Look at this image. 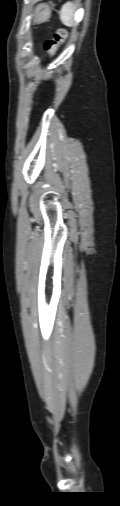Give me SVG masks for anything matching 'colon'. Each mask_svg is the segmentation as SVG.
I'll return each mask as SVG.
<instances>
[{"label": "colon", "instance_id": "colon-1", "mask_svg": "<svg viewBox=\"0 0 120 506\" xmlns=\"http://www.w3.org/2000/svg\"><path fill=\"white\" fill-rule=\"evenodd\" d=\"M67 38V34L64 31L57 32L52 39L45 42L44 48L49 56H53L58 46L63 43Z\"/></svg>", "mask_w": 120, "mask_h": 506}]
</instances>
